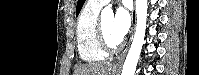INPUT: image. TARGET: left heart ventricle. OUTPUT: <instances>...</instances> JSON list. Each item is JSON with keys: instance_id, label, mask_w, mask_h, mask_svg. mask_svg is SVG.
Returning a JSON list of instances; mask_svg holds the SVG:
<instances>
[{"instance_id": "obj_1", "label": "left heart ventricle", "mask_w": 199, "mask_h": 75, "mask_svg": "<svg viewBox=\"0 0 199 75\" xmlns=\"http://www.w3.org/2000/svg\"><path fill=\"white\" fill-rule=\"evenodd\" d=\"M112 23H113L112 17H106L102 19V26H103V32H104L105 38L109 44L115 45L119 43V40L116 38V36L112 32Z\"/></svg>"}]
</instances>
